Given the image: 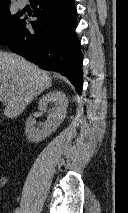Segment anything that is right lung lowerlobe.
I'll return each mask as SVG.
<instances>
[{
    "mask_svg": "<svg viewBox=\"0 0 128 213\" xmlns=\"http://www.w3.org/2000/svg\"><path fill=\"white\" fill-rule=\"evenodd\" d=\"M37 20L26 28L24 20L1 43L45 69L62 73L81 93L82 53L75 28L74 0H30ZM38 7V8H37Z\"/></svg>",
    "mask_w": 128,
    "mask_h": 213,
    "instance_id": "obj_1",
    "label": "right lung lower lobe"
}]
</instances>
